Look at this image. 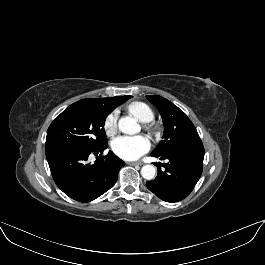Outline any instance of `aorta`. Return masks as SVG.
I'll return each instance as SVG.
<instances>
[{
	"label": "aorta",
	"instance_id": "obj_1",
	"mask_svg": "<svg viewBox=\"0 0 265 265\" xmlns=\"http://www.w3.org/2000/svg\"><path fill=\"white\" fill-rule=\"evenodd\" d=\"M119 130L125 134H136L140 132V125L134 118L123 117L118 122ZM156 168L153 165H144L141 168V175L146 180H152L155 177Z\"/></svg>",
	"mask_w": 265,
	"mask_h": 265
}]
</instances>
